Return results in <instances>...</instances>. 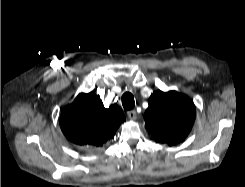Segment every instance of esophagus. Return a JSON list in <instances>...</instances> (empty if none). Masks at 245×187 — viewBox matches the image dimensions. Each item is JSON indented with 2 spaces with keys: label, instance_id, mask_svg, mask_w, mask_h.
<instances>
[{
  "label": "esophagus",
  "instance_id": "esophagus-1",
  "mask_svg": "<svg viewBox=\"0 0 245 187\" xmlns=\"http://www.w3.org/2000/svg\"><path fill=\"white\" fill-rule=\"evenodd\" d=\"M127 116H128V118H130L131 120L136 119V117H137L136 111H135V110H130V111H128V112H127Z\"/></svg>",
  "mask_w": 245,
  "mask_h": 187
}]
</instances>
